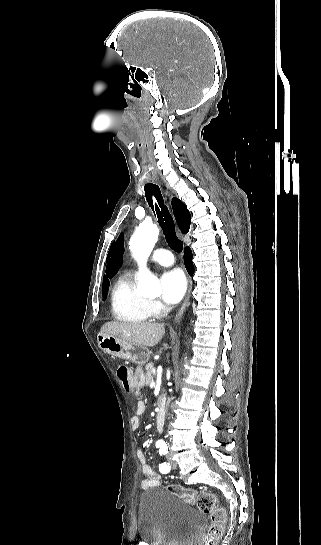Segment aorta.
I'll return each mask as SVG.
<instances>
[{"label": "aorta", "instance_id": "obj_1", "mask_svg": "<svg viewBox=\"0 0 321 545\" xmlns=\"http://www.w3.org/2000/svg\"><path fill=\"white\" fill-rule=\"evenodd\" d=\"M159 229L154 224L143 223L134 232L129 242L133 257L140 265L138 291L141 294H157L160 291L157 278L147 269L146 262L157 242Z\"/></svg>", "mask_w": 321, "mask_h": 545}]
</instances>
